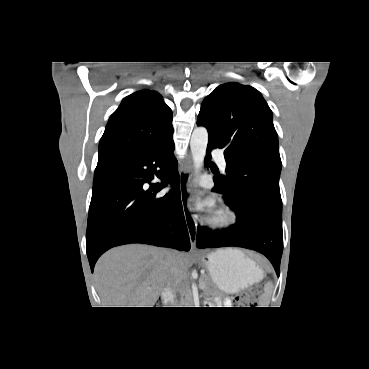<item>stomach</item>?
<instances>
[{
	"instance_id": "0dacf381",
	"label": "stomach",
	"mask_w": 369,
	"mask_h": 369,
	"mask_svg": "<svg viewBox=\"0 0 369 369\" xmlns=\"http://www.w3.org/2000/svg\"><path fill=\"white\" fill-rule=\"evenodd\" d=\"M204 262L217 287L229 294L237 293L261 280L262 270L242 252L218 250L207 255Z\"/></svg>"
}]
</instances>
